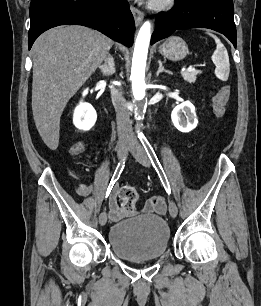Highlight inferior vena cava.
<instances>
[{"mask_svg": "<svg viewBox=\"0 0 261 306\" xmlns=\"http://www.w3.org/2000/svg\"><path fill=\"white\" fill-rule=\"evenodd\" d=\"M111 99L116 111L118 134H126L130 136L132 134V126L126 101L122 92H120L114 86L111 87Z\"/></svg>", "mask_w": 261, "mask_h": 306, "instance_id": "obj_1", "label": "inferior vena cava"}]
</instances>
